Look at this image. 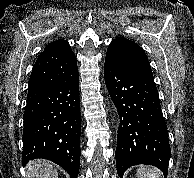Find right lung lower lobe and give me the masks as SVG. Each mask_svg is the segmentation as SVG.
Returning a JSON list of instances; mask_svg holds the SVG:
<instances>
[{"instance_id": "1", "label": "right lung lower lobe", "mask_w": 194, "mask_h": 178, "mask_svg": "<svg viewBox=\"0 0 194 178\" xmlns=\"http://www.w3.org/2000/svg\"><path fill=\"white\" fill-rule=\"evenodd\" d=\"M23 120V165L48 159L76 178L81 155L78 72L68 80L29 89Z\"/></svg>"}]
</instances>
